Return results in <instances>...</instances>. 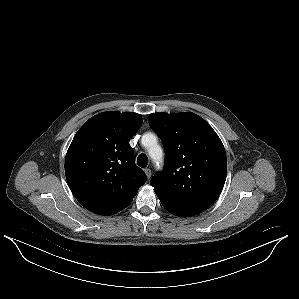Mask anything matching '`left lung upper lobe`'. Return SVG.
<instances>
[{
	"label": "left lung upper lobe",
	"mask_w": 299,
	"mask_h": 299,
	"mask_svg": "<svg viewBox=\"0 0 299 299\" xmlns=\"http://www.w3.org/2000/svg\"><path fill=\"white\" fill-rule=\"evenodd\" d=\"M148 122L166 154L163 172L150 181L160 201L209 208L220 195L227 172L225 148L216 132L192 112L153 113Z\"/></svg>",
	"instance_id": "5c2ea615"
}]
</instances>
